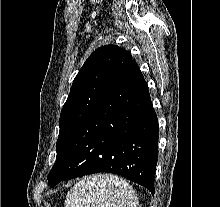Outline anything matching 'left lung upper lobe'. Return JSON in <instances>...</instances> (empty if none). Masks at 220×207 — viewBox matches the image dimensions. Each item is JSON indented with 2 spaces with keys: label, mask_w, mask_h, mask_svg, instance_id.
Returning a JSON list of instances; mask_svg holds the SVG:
<instances>
[{
  "label": "left lung upper lobe",
  "mask_w": 220,
  "mask_h": 207,
  "mask_svg": "<svg viewBox=\"0 0 220 207\" xmlns=\"http://www.w3.org/2000/svg\"><path fill=\"white\" fill-rule=\"evenodd\" d=\"M131 61V54L125 49L105 45L96 49L83 64L60 114L55 164Z\"/></svg>",
  "instance_id": "1"
}]
</instances>
